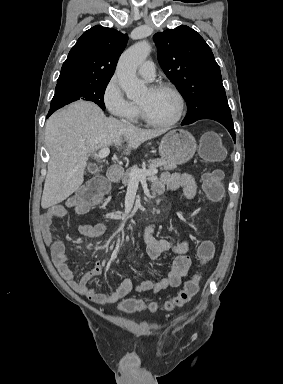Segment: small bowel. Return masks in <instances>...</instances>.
<instances>
[{"mask_svg":"<svg viewBox=\"0 0 283 384\" xmlns=\"http://www.w3.org/2000/svg\"><path fill=\"white\" fill-rule=\"evenodd\" d=\"M168 190L182 189L185 198L191 199L195 196L197 185L194 178L186 173L174 172L164 173L154 183L153 190L156 193H162ZM66 214V207L62 204H56L48 208L47 212L41 218V230L45 243L50 249L52 261L58 272L64 280L77 293L88 300L97 304H115L125 298L132 290L136 292L152 291L159 293L169 288H177L181 285L184 277L187 276L191 266V259L188 255L189 243L186 240L173 242L168 239L155 238L153 233L155 226L148 225L144 230V242L149 261L160 259L162 254L172 251L175 255L167 276L157 279L151 277L140 284L133 286L130 278H123L119 285L108 293H103L89 286V282L98 277L102 272V263L96 262L95 266L80 279L76 280L74 274L69 268L68 258L65 255L63 242L53 236L51 225L54 218L63 217ZM81 235L89 238H98L105 234L107 226L104 223L89 224L85 223L79 226Z\"/></svg>","mask_w":283,"mask_h":384,"instance_id":"small-bowel-1","label":"small bowel"}]
</instances>
